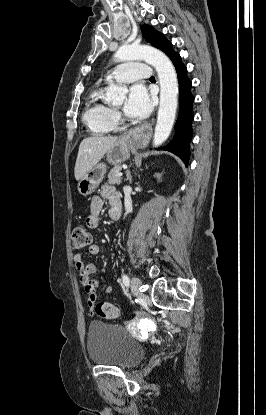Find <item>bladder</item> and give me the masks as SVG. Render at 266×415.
<instances>
[{"instance_id":"31cf9c89","label":"bladder","mask_w":266,"mask_h":415,"mask_svg":"<svg viewBox=\"0 0 266 415\" xmlns=\"http://www.w3.org/2000/svg\"><path fill=\"white\" fill-rule=\"evenodd\" d=\"M87 352L94 364L133 368L144 357L142 345L123 327L94 321L89 325Z\"/></svg>"}]
</instances>
